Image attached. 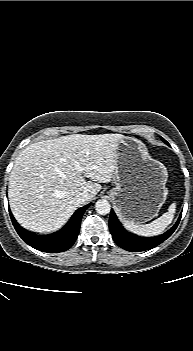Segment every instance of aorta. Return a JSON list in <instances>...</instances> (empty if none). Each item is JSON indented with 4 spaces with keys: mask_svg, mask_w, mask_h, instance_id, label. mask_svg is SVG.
<instances>
[{
    "mask_svg": "<svg viewBox=\"0 0 193 351\" xmlns=\"http://www.w3.org/2000/svg\"><path fill=\"white\" fill-rule=\"evenodd\" d=\"M110 203L105 199H100L95 204V209L98 214L106 215L110 212Z\"/></svg>",
    "mask_w": 193,
    "mask_h": 351,
    "instance_id": "obj_1",
    "label": "aorta"
}]
</instances>
